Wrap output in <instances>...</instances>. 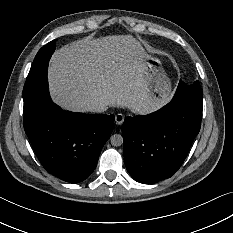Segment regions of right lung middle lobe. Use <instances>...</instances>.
<instances>
[{"label": "right lung middle lobe", "mask_w": 233, "mask_h": 233, "mask_svg": "<svg viewBox=\"0 0 233 233\" xmlns=\"http://www.w3.org/2000/svg\"><path fill=\"white\" fill-rule=\"evenodd\" d=\"M55 43L56 40L49 42L37 53L32 63L27 81L24 85V95L28 94L31 90L47 79L48 63L55 50Z\"/></svg>", "instance_id": "dd1d6c3e"}]
</instances>
